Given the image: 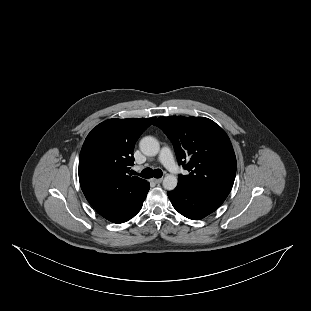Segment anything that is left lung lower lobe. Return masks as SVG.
<instances>
[{"label": "left lung lower lobe", "instance_id": "1", "mask_svg": "<svg viewBox=\"0 0 311 311\" xmlns=\"http://www.w3.org/2000/svg\"><path fill=\"white\" fill-rule=\"evenodd\" d=\"M173 207L189 219L200 220L214 212L226 198L205 194L185 186L177 185L167 192Z\"/></svg>", "mask_w": 311, "mask_h": 311}]
</instances>
